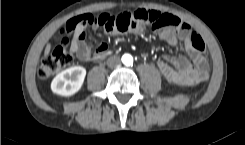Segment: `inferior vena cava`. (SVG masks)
<instances>
[{
    "mask_svg": "<svg viewBox=\"0 0 245 145\" xmlns=\"http://www.w3.org/2000/svg\"><path fill=\"white\" fill-rule=\"evenodd\" d=\"M107 65L110 68H115L120 65V58L118 56H112L108 58Z\"/></svg>",
    "mask_w": 245,
    "mask_h": 145,
    "instance_id": "602c4592",
    "label": "inferior vena cava"
}]
</instances>
